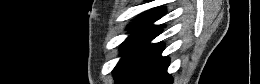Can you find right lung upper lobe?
<instances>
[{"label":"right lung upper lobe","instance_id":"cb5924a9","mask_svg":"<svg viewBox=\"0 0 260 84\" xmlns=\"http://www.w3.org/2000/svg\"><path fill=\"white\" fill-rule=\"evenodd\" d=\"M165 14L164 8H153L147 14L142 15L138 20L135 21L131 27L137 28H161V26H153V22L161 18Z\"/></svg>","mask_w":260,"mask_h":84}]
</instances>
